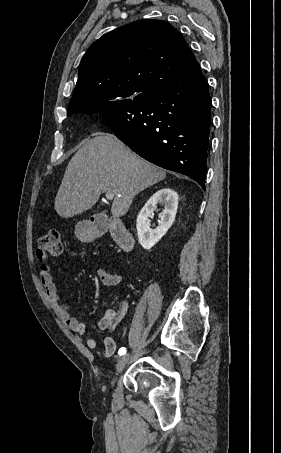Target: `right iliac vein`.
I'll return each mask as SVG.
<instances>
[{
  "label": "right iliac vein",
  "mask_w": 281,
  "mask_h": 453,
  "mask_svg": "<svg viewBox=\"0 0 281 453\" xmlns=\"http://www.w3.org/2000/svg\"><path fill=\"white\" fill-rule=\"evenodd\" d=\"M127 361H129V358H127V356H122V358H119L117 371L115 372L117 375L127 367ZM110 381L113 383L115 380L112 378Z\"/></svg>",
  "instance_id": "right-iliac-vein-1"
}]
</instances>
